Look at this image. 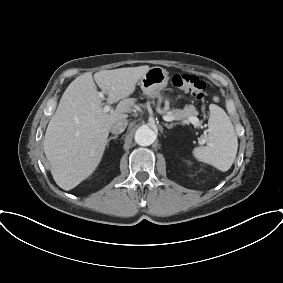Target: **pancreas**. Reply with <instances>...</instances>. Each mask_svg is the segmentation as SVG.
<instances>
[{
	"label": "pancreas",
	"mask_w": 283,
	"mask_h": 283,
	"mask_svg": "<svg viewBox=\"0 0 283 283\" xmlns=\"http://www.w3.org/2000/svg\"><path fill=\"white\" fill-rule=\"evenodd\" d=\"M168 116H173L175 120H184L189 117H196L198 115V111L193 105L185 106L183 110L181 109H174L169 111Z\"/></svg>",
	"instance_id": "obj_1"
}]
</instances>
